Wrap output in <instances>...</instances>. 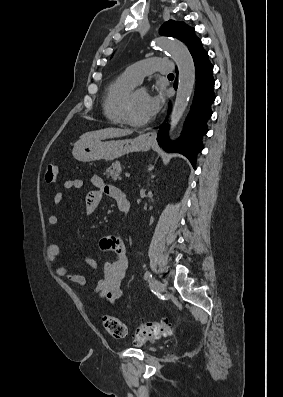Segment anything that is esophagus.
Instances as JSON below:
<instances>
[{
  "label": "esophagus",
  "instance_id": "esophagus-1",
  "mask_svg": "<svg viewBox=\"0 0 283 397\" xmlns=\"http://www.w3.org/2000/svg\"><path fill=\"white\" fill-rule=\"evenodd\" d=\"M144 138L147 139L148 141H154L156 139V133L155 132H147L144 135Z\"/></svg>",
  "mask_w": 283,
  "mask_h": 397
}]
</instances>
